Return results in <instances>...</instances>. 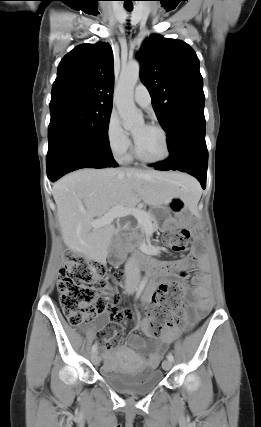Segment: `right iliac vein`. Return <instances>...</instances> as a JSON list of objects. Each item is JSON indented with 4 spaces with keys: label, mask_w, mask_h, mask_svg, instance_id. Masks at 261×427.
Masks as SVG:
<instances>
[{
    "label": "right iliac vein",
    "mask_w": 261,
    "mask_h": 427,
    "mask_svg": "<svg viewBox=\"0 0 261 427\" xmlns=\"http://www.w3.org/2000/svg\"><path fill=\"white\" fill-rule=\"evenodd\" d=\"M91 360L95 365L99 364V358H98L97 352L92 353Z\"/></svg>",
    "instance_id": "63e3f726"
}]
</instances>
